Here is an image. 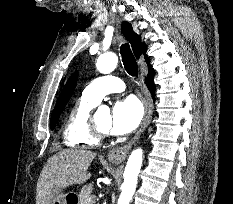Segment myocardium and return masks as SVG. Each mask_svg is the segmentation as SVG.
Wrapping results in <instances>:
<instances>
[{
    "label": "myocardium",
    "mask_w": 233,
    "mask_h": 204,
    "mask_svg": "<svg viewBox=\"0 0 233 204\" xmlns=\"http://www.w3.org/2000/svg\"><path fill=\"white\" fill-rule=\"evenodd\" d=\"M91 129L93 134L99 139L108 137L109 133L107 131H103L102 129H100L93 119H91Z\"/></svg>",
    "instance_id": "f54148a6"
}]
</instances>
